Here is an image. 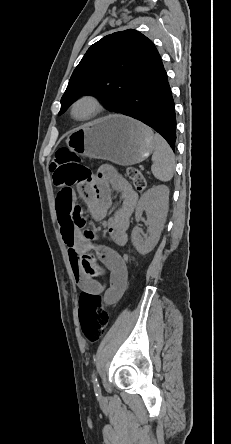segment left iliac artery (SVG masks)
<instances>
[{"label": "left iliac artery", "instance_id": "obj_1", "mask_svg": "<svg viewBox=\"0 0 231 444\" xmlns=\"http://www.w3.org/2000/svg\"><path fill=\"white\" fill-rule=\"evenodd\" d=\"M93 386H94V391L96 392V395H99L101 393V390H100V386H99L98 379L96 378V376L93 378Z\"/></svg>", "mask_w": 231, "mask_h": 444}]
</instances>
